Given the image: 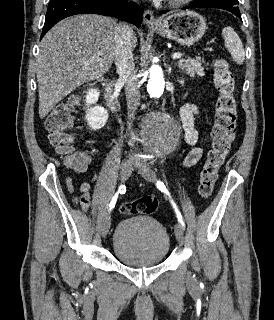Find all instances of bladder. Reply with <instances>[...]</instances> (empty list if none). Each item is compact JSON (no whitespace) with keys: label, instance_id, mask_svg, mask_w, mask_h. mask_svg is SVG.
Returning <instances> with one entry per match:
<instances>
[{"label":"bladder","instance_id":"31cf9c89","mask_svg":"<svg viewBox=\"0 0 274 320\" xmlns=\"http://www.w3.org/2000/svg\"><path fill=\"white\" fill-rule=\"evenodd\" d=\"M170 245L166 228L146 215H133L119 221L113 233V253L127 266L160 264L166 259Z\"/></svg>","mask_w":274,"mask_h":320}]
</instances>
